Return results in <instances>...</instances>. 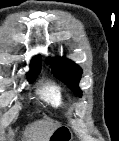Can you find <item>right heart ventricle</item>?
Here are the masks:
<instances>
[{"instance_id":"1","label":"right heart ventricle","mask_w":119,"mask_h":141,"mask_svg":"<svg viewBox=\"0 0 119 141\" xmlns=\"http://www.w3.org/2000/svg\"><path fill=\"white\" fill-rule=\"evenodd\" d=\"M39 94L46 103L54 108H64L66 106L62 89L55 83L44 85L39 91Z\"/></svg>"}]
</instances>
